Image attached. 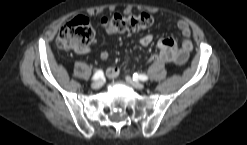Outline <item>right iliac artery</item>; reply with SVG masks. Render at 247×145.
<instances>
[{
  "label": "right iliac artery",
  "mask_w": 247,
  "mask_h": 145,
  "mask_svg": "<svg viewBox=\"0 0 247 145\" xmlns=\"http://www.w3.org/2000/svg\"><path fill=\"white\" fill-rule=\"evenodd\" d=\"M104 75L102 70H98L96 71V73L93 75L92 80H98L100 78H102Z\"/></svg>",
  "instance_id": "1"
}]
</instances>
